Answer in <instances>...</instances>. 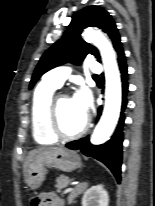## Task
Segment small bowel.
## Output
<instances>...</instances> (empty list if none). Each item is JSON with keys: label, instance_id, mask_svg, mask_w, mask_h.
Wrapping results in <instances>:
<instances>
[{"label": "small bowel", "instance_id": "obj_1", "mask_svg": "<svg viewBox=\"0 0 155 206\" xmlns=\"http://www.w3.org/2000/svg\"><path fill=\"white\" fill-rule=\"evenodd\" d=\"M38 206H63V200L54 193H47L40 196Z\"/></svg>", "mask_w": 155, "mask_h": 206}]
</instances>
